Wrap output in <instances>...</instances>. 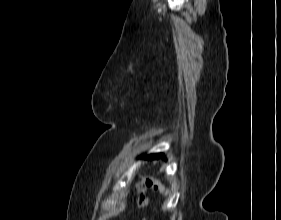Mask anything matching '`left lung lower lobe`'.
Listing matches in <instances>:
<instances>
[{
    "label": "left lung lower lobe",
    "mask_w": 281,
    "mask_h": 220,
    "mask_svg": "<svg viewBox=\"0 0 281 220\" xmlns=\"http://www.w3.org/2000/svg\"><path fill=\"white\" fill-rule=\"evenodd\" d=\"M164 155L162 153H157V154H150L148 156H146V158L148 159H158L160 157H163Z\"/></svg>",
    "instance_id": "left-lung-lower-lobe-1"
}]
</instances>
